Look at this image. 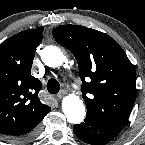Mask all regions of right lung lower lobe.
Segmentation results:
<instances>
[{
	"instance_id": "right-lung-lower-lobe-1",
	"label": "right lung lower lobe",
	"mask_w": 145,
	"mask_h": 145,
	"mask_svg": "<svg viewBox=\"0 0 145 145\" xmlns=\"http://www.w3.org/2000/svg\"><path fill=\"white\" fill-rule=\"evenodd\" d=\"M36 126L30 128L26 131H23L21 133L11 134V135H3V137L6 139H11V140L30 139L36 134V132L38 130V128Z\"/></svg>"
}]
</instances>
